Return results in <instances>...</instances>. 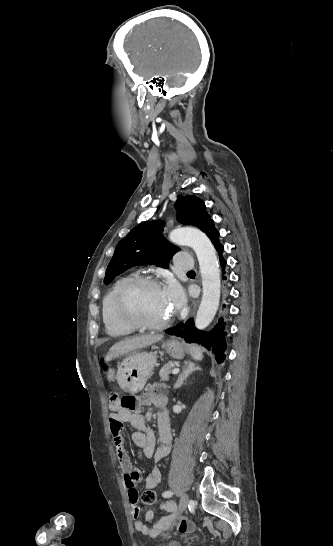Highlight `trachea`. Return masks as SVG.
Wrapping results in <instances>:
<instances>
[{
	"instance_id": "trachea-1",
	"label": "trachea",
	"mask_w": 333,
	"mask_h": 546,
	"mask_svg": "<svg viewBox=\"0 0 333 546\" xmlns=\"http://www.w3.org/2000/svg\"><path fill=\"white\" fill-rule=\"evenodd\" d=\"M190 273H195V272L193 270H191V271L188 272V274H190Z\"/></svg>"
}]
</instances>
